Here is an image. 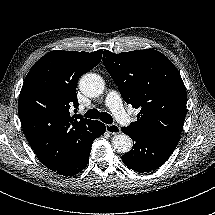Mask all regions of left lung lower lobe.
I'll return each mask as SVG.
<instances>
[{
	"label": "left lung lower lobe",
	"instance_id": "obj_1",
	"mask_svg": "<svg viewBox=\"0 0 215 215\" xmlns=\"http://www.w3.org/2000/svg\"><path fill=\"white\" fill-rule=\"evenodd\" d=\"M122 132L134 141L132 150L122 156V161L130 169L141 173L164 164L180 140V136L142 134L127 127H123Z\"/></svg>",
	"mask_w": 215,
	"mask_h": 215
}]
</instances>
